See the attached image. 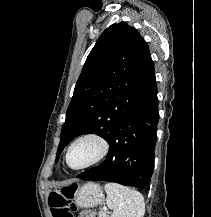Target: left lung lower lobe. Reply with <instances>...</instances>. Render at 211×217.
<instances>
[{
	"mask_svg": "<svg viewBox=\"0 0 211 217\" xmlns=\"http://www.w3.org/2000/svg\"><path fill=\"white\" fill-rule=\"evenodd\" d=\"M158 121L156 86L115 126L108 140L110 147L106 160L77 175V178L150 188Z\"/></svg>",
	"mask_w": 211,
	"mask_h": 217,
	"instance_id": "0a47b994",
	"label": "left lung lower lobe"
}]
</instances>
